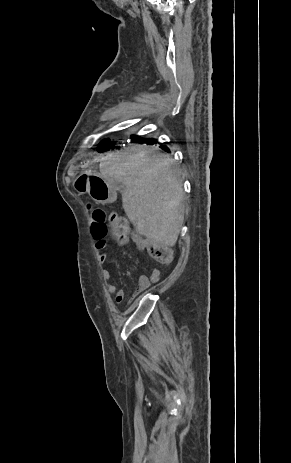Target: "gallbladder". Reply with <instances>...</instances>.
<instances>
[{
    "label": "gallbladder",
    "instance_id": "obj_1",
    "mask_svg": "<svg viewBox=\"0 0 291 463\" xmlns=\"http://www.w3.org/2000/svg\"><path fill=\"white\" fill-rule=\"evenodd\" d=\"M118 190L123 191L125 189L124 185L121 183H118L117 185Z\"/></svg>",
    "mask_w": 291,
    "mask_h": 463
}]
</instances>
